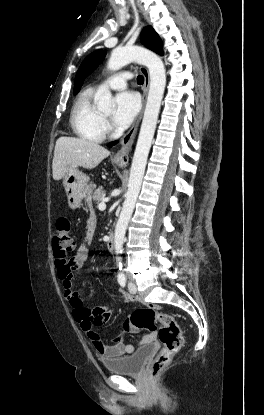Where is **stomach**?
<instances>
[{"label":"stomach","instance_id":"stomach-1","mask_svg":"<svg viewBox=\"0 0 264 415\" xmlns=\"http://www.w3.org/2000/svg\"><path fill=\"white\" fill-rule=\"evenodd\" d=\"M118 166L120 163L115 162ZM63 186L68 200V206L75 210L80 207L82 199H90L94 189L93 184H89L86 176L77 167L70 166L63 176Z\"/></svg>","mask_w":264,"mask_h":415}]
</instances>
